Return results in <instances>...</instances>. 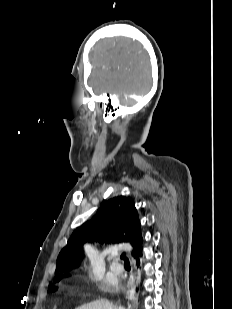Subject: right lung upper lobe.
Instances as JSON below:
<instances>
[{"label":"right lung upper lobe","instance_id":"obj_1","mask_svg":"<svg viewBox=\"0 0 232 309\" xmlns=\"http://www.w3.org/2000/svg\"><path fill=\"white\" fill-rule=\"evenodd\" d=\"M91 238L100 243H130L132 256L136 259L141 256L143 238L133 200L121 196L106 201L91 220L74 230L57 258L55 272H68L77 267L84 257L82 245ZM62 277L60 274L55 280ZM50 291H55V288H50Z\"/></svg>","mask_w":232,"mask_h":309}]
</instances>
